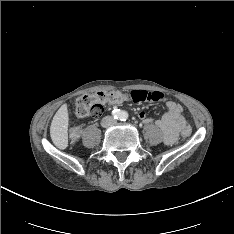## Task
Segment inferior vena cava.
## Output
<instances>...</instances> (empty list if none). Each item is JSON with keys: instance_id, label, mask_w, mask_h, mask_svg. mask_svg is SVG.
Segmentation results:
<instances>
[{"instance_id": "602c4592", "label": "inferior vena cava", "mask_w": 234, "mask_h": 234, "mask_svg": "<svg viewBox=\"0 0 234 234\" xmlns=\"http://www.w3.org/2000/svg\"><path fill=\"white\" fill-rule=\"evenodd\" d=\"M116 120L111 117V116H105L102 120H101V125L102 127H109L113 124H115Z\"/></svg>"}]
</instances>
